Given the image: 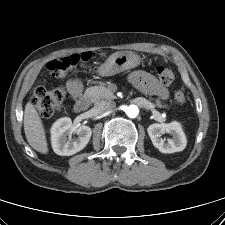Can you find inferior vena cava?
Wrapping results in <instances>:
<instances>
[{"label": "inferior vena cava", "mask_w": 225, "mask_h": 225, "mask_svg": "<svg viewBox=\"0 0 225 225\" xmlns=\"http://www.w3.org/2000/svg\"><path fill=\"white\" fill-rule=\"evenodd\" d=\"M96 108L99 112L105 113L115 108V103L110 100H99L95 103Z\"/></svg>", "instance_id": "602c4592"}]
</instances>
